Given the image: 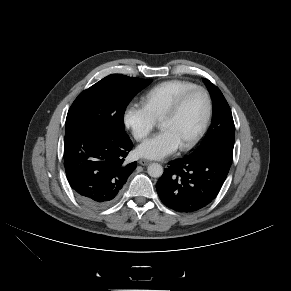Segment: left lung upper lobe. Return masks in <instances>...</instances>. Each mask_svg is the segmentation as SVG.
I'll list each match as a JSON object with an SVG mask.
<instances>
[{
	"label": "left lung upper lobe",
	"mask_w": 291,
	"mask_h": 291,
	"mask_svg": "<svg viewBox=\"0 0 291 291\" xmlns=\"http://www.w3.org/2000/svg\"><path fill=\"white\" fill-rule=\"evenodd\" d=\"M213 101V119L211 126L199 147L200 152L212 147H234L235 126L230 107L221 91L209 80L204 79Z\"/></svg>",
	"instance_id": "1"
}]
</instances>
